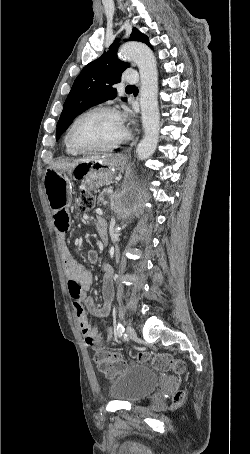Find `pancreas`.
<instances>
[{"instance_id":"obj_1","label":"pancreas","mask_w":250,"mask_h":454,"mask_svg":"<svg viewBox=\"0 0 250 454\" xmlns=\"http://www.w3.org/2000/svg\"><path fill=\"white\" fill-rule=\"evenodd\" d=\"M108 191H109V188H105V189L102 191V193H101L100 196H99V200H100V201L103 200V195H104V193H106V192H108Z\"/></svg>"}]
</instances>
